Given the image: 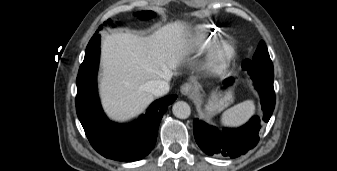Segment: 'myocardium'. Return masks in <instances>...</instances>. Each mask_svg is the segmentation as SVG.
Here are the masks:
<instances>
[{"mask_svg":"<svg viewBox=\"0 0 337 171\" xmlns=\"http://www.w3.org/2000/svg\"><path fill=\"white\" fill-rule=\"evenodd\" d=\"M234 56V48L230 44L215 46L209 56V62L213 67L222 69L226 67Z\"/></svg>","mask_w":337,"mask_h":171,"instance_id":"obj_1","label":"myocardium"}]
</instances>
